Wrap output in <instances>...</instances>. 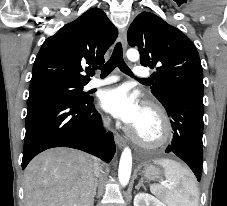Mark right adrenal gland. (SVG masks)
Instances as JSON below:
<instances>
[{"label": "right adrenal gland", "instance_id": "obj_1", "mask_svg": "<svg viewBox=\"0 0 227 206\" xmlns=\"http://www.w3.org/2000/svg\"><path fill=\"white\" fill-rule=\"evenodd\" d=\"M97 187H98V183L95 182V186H94V192H93V203H94V197L96 195V190H97ZM93 206V205H92Z\"/></svg>", "mask_w": 227, "mask_h": 206}]
</instances>
